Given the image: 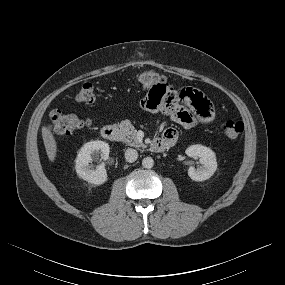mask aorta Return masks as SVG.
I'll use <instances>...</instances> for the list:
<instances>
[{
  "label": "aorta",
  "mask_w": 285,
  "mask_h": 285,
  "mask_svg": "<svg viewBox=\"0 0 285 285\" xmlns=\"http://www.w3.org/2000/svg\"><path fill=\"white\" fill-rule=\"evenodd\" d=\"M153 165H154V160L151 157H145L142 160V166L144 168L150 169L153 167Z\"/></svg>",
  "instance_id": "aorta-1"
}]
</instances>
